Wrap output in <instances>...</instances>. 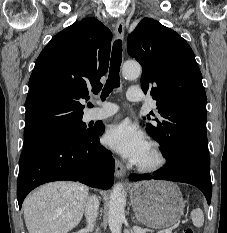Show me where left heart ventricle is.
I'll list each match as a JSON object with an SVG mask.
<instances>
[{
  "label": "left heart ventricle",
  "instance_id": "obj_1",
  "mask_svg": "<svg viewBox=\"0 0 227 233\" xmlns=\"http://www.w3.org/2000/svg\"><path fill=\"white\" fill-rule=\"evenodd\" d=\"M153 161H154V155H153L152 150L148 146L146 151L144 152V154L141 156L140 160L138 161V163L149 164V163H152Z\"/></svg>",
  "mask_w": 227,
  "mask_h": 233
}]
</instances>
